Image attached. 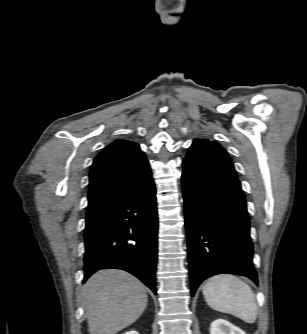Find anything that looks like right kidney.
<instances>
[{
  "label": "right kidney",
  "instance_id": "right-kidney-1",
  "mask_svg": "<svg viewBox=\"0 0 307 334\" xmlns=\"http://www.w3.org/2000/svg\"><path fill=\"white\" fill-rule=\"evenodd\" d=\"M123 334H139V333L137 331L132 330V331L125 332Z\"/></svg>",
  "mask_w": 307,
  "mask_h": 334
}]
</instances>
